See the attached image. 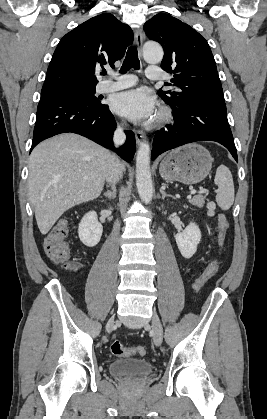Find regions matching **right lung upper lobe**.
<instances>
[{"label": "right lung upper lobe", "instance_id": "right-lung-upper-lobe-1", "mask_svg": "<svg viewBox=\"0 0 267 419\" xmlns=\"http://www.w3.org/2000/svg\"><path fill=\"white\" fill-rule=\"evenodd\" d=\"M133 42L131 28L112 14H100L67 33L57 45L41 92L67 85L95 87L99 66L121 59Z\"/></svg>", "mask_w": 267, "mask_h": 419}]
</instances>
